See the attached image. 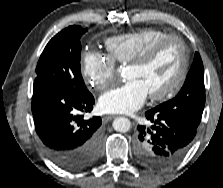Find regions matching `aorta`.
Segmentation results:
<instances>
[{"label": "aorta", "mask_w": 223, "mask_h": 188, "mask_svg": "<svg viewBox=\"0 0 223 188\" xmlns=\"http://www.w3.org/2000/svg\"><path fill=\"white\" fill-rule=\"evenodd\" d=\"M112 126L116 131L125 133L130 130L131 122L125 117H117L114 119Z\"/></svg>", "instance_id": "762f6f07"}]
</instances>
